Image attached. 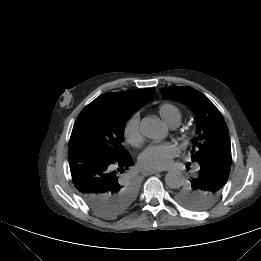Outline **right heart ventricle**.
<instances>
[{"label":"right heart ventricle","instance_id":"1","mask_svg":"<svg viewBox=\"0 0 261 261\" xmlns=\"http://www.w3.org/2000/svg\"><path fill=\"white\" fill-rule=\"evenodd\" d=\"M158 112L161 118L168 124L180 123L182 119L181 110L174 104L171 103H162L158 107Z\"/></svg>","mask_w":261,"mask_h":261}]
</instances>
